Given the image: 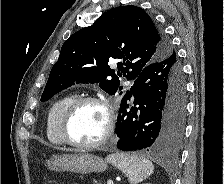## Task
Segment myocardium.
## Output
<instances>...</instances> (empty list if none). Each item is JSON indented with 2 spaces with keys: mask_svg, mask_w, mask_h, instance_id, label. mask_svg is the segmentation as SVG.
<instances>
[{
  "mask_svg": "<svg viewBox=\"0 0 224 184\" xmlns=\"http://www.w3.org/2000/svg\"><path fill=\"white\" fill-rule=\"evenodd\" d=\"M85 103H95L100 105L106 113L105 129L102 136L92 143H79L72 139L69 131L71 119L77 109ZM116 115L109 100L104 97L94 95H84L76 97L64 111L60 122V133L64 142L70 146L81 150L95 149L105 144L112 136L115 128Z\"/></svg>",
  "mask_w": 224,
  "mask_h": 184,
  "instance_id": "1",
  "label": "myocardium"
}]
</instances>
